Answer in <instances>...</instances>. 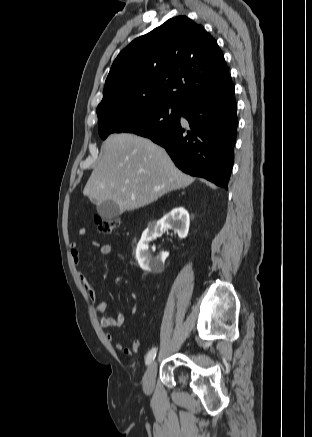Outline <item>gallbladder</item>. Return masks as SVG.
<instances>
[{"label": "gallbladder", "mask_w": 312, "mask_h": 437, "mask_svg": "<svg viewBox=\"0 0 312 437\" xmlns=\"http://www.w3.org/2000/svg\"><path fill=\"white\" fill-rule=\"evenodd\" d=\"M92 201L96 202L94 199ZM97 212L104 219H114L122 213L120 206L112 200L100 203L97 206Z\"/></svg>", "instance_id": "obj_1"}]
</instances>
